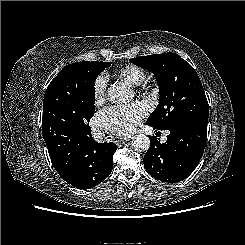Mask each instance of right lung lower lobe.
I'll list each match as a JSON object with an SVG mask.
<instances>
[{
	"mask_svg": "<svg viewBox=\"0 0 245 245\" xmlns=\"http://www.w3.org/2000/svg\"><path fill=\"white\" fill-rule=\"evenodd\" d=\"M45 143L58 174L76 188H93L112 171L116 145L113 142L97 143L91 132L56 135Z\"/></svg>",
	"mask_w": 245,
	"mask_h": 245,
	"instance_id": "right-lung-lower-lobe-1",
	"label": "right lung lower lobe"
}]
</instances>
